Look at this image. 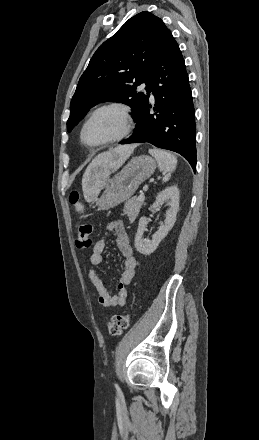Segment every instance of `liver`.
Returning a JSON list of instances; mask_svg holds the SVG:
<instances>
[{
	"mask_svg": "<svg viewBox=\"0 0 259 440\" xmlns=\"http://www.w3.org/2000/svg\"><path fill=\"white\" fill-rule=\"evenodd\" d=\"M136 145H121L99 154L87 167L82 188L87 202L93 201L105 185L106 178L129 158Z\"/></svg>",
	"mask_w": 259,
	"mask_h": 440,
	"instance_id": "1",
	"label": "liver"
}]
</instances>
